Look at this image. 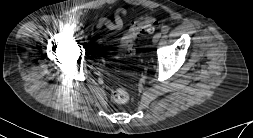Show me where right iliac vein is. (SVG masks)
Wrapping results in <instances>:
<instances>
[{
  "instance_id": "right-iliac-vein-1",
  "label": "right iliac vein",
  "mask_w": 253,
  "mask_h": 138,
  "mask_svg": "<svg viewBox=\"0 0 253 138\" xmlns=\"http://www.w3.org/2000/svg\"><path fill=\"white\" fill-rule=\"evenodd\" d=\"M76 34H77L78 36H81V35L83 34V31H82L81 29H78V30L76 31Z\"/></svg>"
}]
</instances>
